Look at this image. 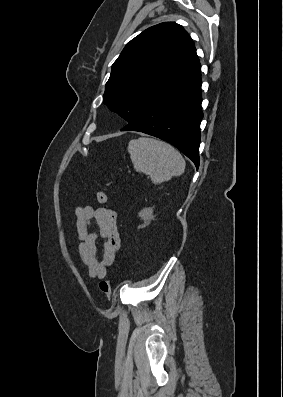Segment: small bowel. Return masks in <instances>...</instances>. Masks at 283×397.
I'll return each mask as SVG.
<instances>
[{"label":"small bowel","instance_id":"c3829d8e","mask_svg":"<svg viewBox=\"0 0 283 397\" xmlns=\"http://www.w3.org/2000/svg\"><path fill=\"white\" fill-rule=\"evenodd\" d=\"M75 215L79 255L89 276L102 279L114 263L121 245L116 213L108 208L95 209L84 205L75 208ZM93 222L98 226L97 233L91 231ZM99 237L104 240L101 260L97 256L96 245Z\"/></svg>","mask_w":283,"mask_h":397}]
</instances>
